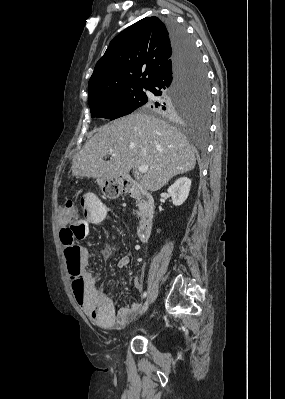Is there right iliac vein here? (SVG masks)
I'll return each instance as SVG.
<instances>
[{"label": "right iliac vein", "mask_w": 285, "mask_h": 399, "mask_svg": "<svg viewBox=\"0 0 285 399\" xmlns=\"http://www.w3.org/2000/svg\"><path fill=\"white\" fill-rule=\"evenodd\" d=\"M151 302H152V297H151V295H149L146 298V300L144 301V303H143V305H142V307L140 309V312H139V314H138L136 319H138L147 310V308L150 306Z\"/></svg>", "instance_id": "1"}]
</instances>
